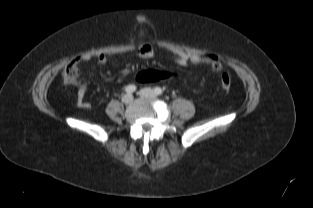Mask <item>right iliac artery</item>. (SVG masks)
<instances>
[{
    "label": "right iliac artery",
    "mask_w": 313,
    "mask_h": 208,
    "mask_svg": "<svg viewBox=\"0 0 313 208\" xmlns=\"http://www.w3.org/2000/svg\"><path fill=\"white\" fill-rule=\"evenodd\" d=\"M135 90H136V86L135 85H128L125 88V92L128 93V94L133 93Z\"/></svg>",
    "instance_id": "obj_1"
}]
</instances>
